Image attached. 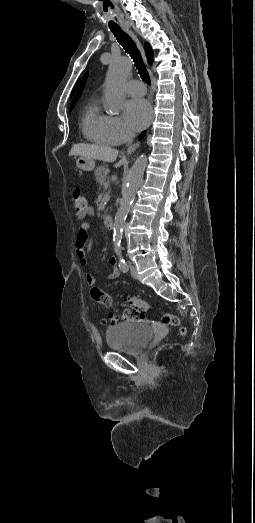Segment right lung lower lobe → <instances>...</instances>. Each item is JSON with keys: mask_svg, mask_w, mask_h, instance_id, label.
<instances>
[{"mask_svg": "<svg viewBox=\"0 0 255 523\" xmlns=\"http://www.w3.org/2000/svg\"><path fill=\"white\" fill-rule=\"evenodd\" d=\"M142 134H143V133H142ZM142 134L140 135V139H142V138L144 137V135H145V134H143V135H142Z\"/></svg>", "mask_w": 255, "mask_h": 523, "instance_id": "obj_1", "label": "right lung lower lobe"}]
</instances>
